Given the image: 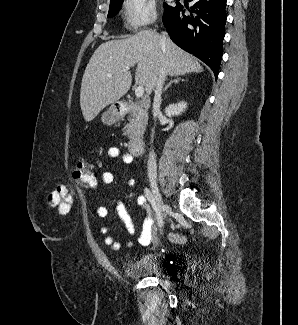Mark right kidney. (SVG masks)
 Segmentation results:
<instances>
[{"mask_svg":"<svg viewBox=\"0 0 298 325\" xmlns=\"http://www.w3.org/2000/svg\"><path fill=\"white\" fill-rule=\"evenodd\" d=\"M187 108V102L185 100H179V102H172L164 108L166 116H176V114H181Z\"/></svg>","mask_w":298,"mask_h":325,"instance_id":"obj_1","label":"right kidney"}]
</instances>
